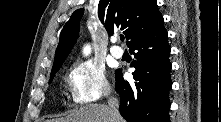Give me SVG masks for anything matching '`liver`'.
I'll return each mask as SVG.
<instances>
[{
    "label": "liver",
    "instance_id": "liver-1",
    "mask_svg": "<svg viewBox=\"0 0 221 122\" xmlns=\"http://www.w3.org/2000/svg\"><path fill=\"white\" fill-rule=\"evenodd\" d=\"M55 122H124V120L120 114L113 119L106 105L89 104L73 110L66 118L57 119Z\"/></svg>",
    "mask_w": 221,
    "mask_h": 122
}]
</instances>
